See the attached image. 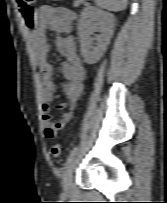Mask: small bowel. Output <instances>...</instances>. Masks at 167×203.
I'll return each mask as SVG.
<instances>
[{"instance_id": "1", "label": "small bowel", "mask_w": 167, "mask_h": 203, "mask_svg": "<svg viewBox=\"0 0 167 203\" xmlns=\"http://www.w3.org/2000/svg\"><path fill=\"white\" fill-rule=\"evenodd\" d=\"M73 20V13L66 9L43 6L36 12L34 27L30 32V43L41 73L42 124L47 138L55 137L58 131L73 118V109L81 95L86 78V70L72 36ZM48 30L57 35V50L65 58L61 64V72L65 78L62 84V95L65 101L57 107L58 110L65 111L58 120H53L50 114L51 102L58 95L53 82L54 68L49 58Z\"/></svg>"}]
</instances>
